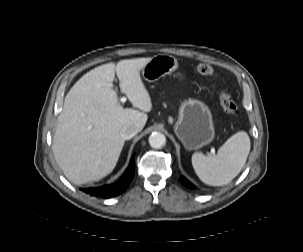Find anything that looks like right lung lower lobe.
<instances>
[{"instance_id": "1", "label": "right lung lower lobe", "mask_w": 303, "mask_h": 252, "mask_svg": "<svg viewBox=\"0 0 303 252\" xmlns=\"http://www.w3.org/2000/svg\"><path fill=\"white\" fill-rule=\"evenodd\" d=\"M134 157H135L134 155L131 157L130 165L128 166V168L126 169L123 176L120 178L118 182L111 185H104L101 187L84 189V191L90 194L91 196L102 197V198L114 197L124 192L129 186L130 182L132 181L135 173Z\"/></svg>"}]
</instances>
